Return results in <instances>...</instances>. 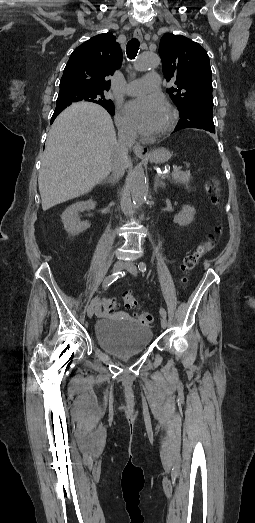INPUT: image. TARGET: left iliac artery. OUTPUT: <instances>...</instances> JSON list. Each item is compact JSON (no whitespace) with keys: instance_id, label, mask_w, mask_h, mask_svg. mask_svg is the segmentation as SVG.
I'll return each mask as SVG.
<instances>
[{"instance_id":"44dca946","label":"left iliac artery","mask_w":255,"mask_h":523,"mask_svg":"<svg viewBox=\"0 0 255 523\" xmlns=\"http://www.w3.org/2000/svg\"><path fill=\"white\" fill-rule=\"evenodd\" d=\"M138 269L141 271V272H145L146 271V264L144 262H140L139 265H138ZM160 315L162 317H165L167 316V313H166V310L164 308H160Z\"/></svg>"}]
</instances>
